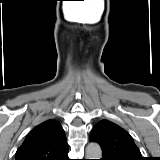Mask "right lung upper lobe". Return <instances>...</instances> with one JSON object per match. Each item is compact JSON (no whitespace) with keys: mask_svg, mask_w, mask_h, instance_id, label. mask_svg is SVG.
<instances>
[{"mask_svg":"<svg viewBox=\"0 0 160 160\" xmlns=\"http://www.w3.org/2000/svg\"><path fill=\"white\" fill-rule=\"evenodd\" d=\"M67 153L62 126L55 120H47L27 134L15 160H63Z\"/></svg>","mask_w":160,"mask_h":160,"instance_id":"right-lung-upper-lobe-1","label":"right lung upper lobe"}]
</instances>
